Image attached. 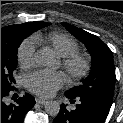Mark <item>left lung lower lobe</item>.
Instances as JSON below:
<instances>
[{
	"label": "left lung lower lobe",
	"mask_w": 123,
	"mask_h": 123,
	"mask_svg": "<svg viewBox=\"0 0 123 123\" xmlns=\"http://www.w3.org/2000/svg\"><path fill=\"white\" fill-rule=\"evenodd\" d=\"M65 95L71 103L76 99L79 100V104L71 112L62 104L53 123H104L112 105V101L100 97L72 96L67 93Z\"/></svg>",
	"instance_id": "1"
}]
</instances>
